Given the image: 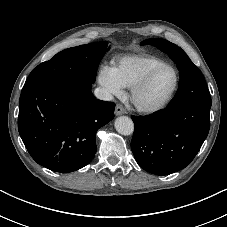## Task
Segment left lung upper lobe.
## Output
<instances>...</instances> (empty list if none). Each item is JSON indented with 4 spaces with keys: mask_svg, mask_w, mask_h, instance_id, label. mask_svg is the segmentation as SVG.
<instances>
[{
    "mask_svg": "<svg viewBox=\"0 0 227 227\" xmlns=\"http://www.w3.org/2000/svg\"><path fill=\"white\" fill-rule=\"evenodd\" d=\"M142 44L153 45L166 52L180 71L178 91L168 107L185 104L211 107V97L203 74L180 47L159 38L147 39Z\"/></svg>",
    "mask_w": 227,
    "mask_h": 227,
    "instance_id": "5c2ea615",
    "label": "left lung upper lobe"
}]
</instances>
